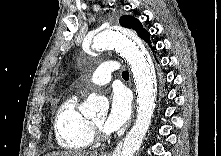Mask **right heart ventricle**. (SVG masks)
Returning a JSON list of instances; mask_svg holds the SVG:
<instances>
[{
	"instance_id": "e07e8e85",
	"label": "right heart ventricle",
	"mask_w": 221,
	"mask_h": 156,
	"mask_svg": "<svg viewBox=\"0 0 221 156\" xmlns=\"http://www.w3.org/2000/svg\"><path fill=\"white\" fill-rule=\"evenodd\" d=\"M54 133L56 143L64 149L82 150L92 144L91 121L79 111L76 95L67 97L58 108Z\"/></svg>"
}]
</instances>
